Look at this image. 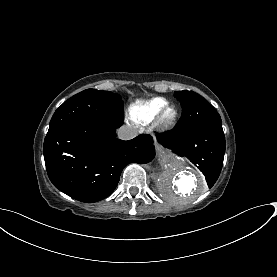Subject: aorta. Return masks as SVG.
<instances>
[{"instance_id":"aorta-1","label":"aorta","mask_w":277,"mask_h":277,"mask_svg":"<svg viewBox=\"0 0 277 277\" xmlns=\"http://www.w3.org/2000/svg\"><path fill=\"white\" fill-rule=\"evenodd\" d=\"M161 174L158 187L162 196L173 204H186L207 191V184L202 173L188 162L159 149Z\"/></svg>"}]
</instances>
